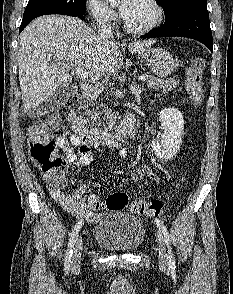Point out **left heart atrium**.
<instances>
[{
	"label": "left heart atrium",
	"instance_id": "left-heart-atrium-1",
	"mask_svg": "<svg viewBox=\"0 0 233 294\" xmlns=\"http://www.w3.org/2000/svg\"><path fill=\"white\" fill-rule=\"evenodd\" d=\"M138 0H121L119 11L123 17L127 16L134 8Z\"/></svg>",
	"mask_w": 233,
	"mask_h": 294
}]
</instances>
